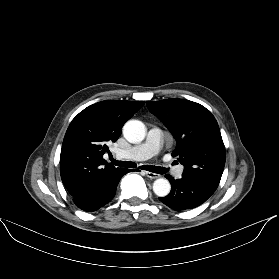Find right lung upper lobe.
<instances>
[{"label": "right lung upper lobe", "instance_id": "1", "mask_svg": "<svg viewBox=\"0 0 279 279\" xmlns=\"http://www.w3.org/2000/svg\"><path fill=\"white\" fill-rule=\"evenodd\" d=\"M144 103L106 100L88 106L72 120L60 155L61 179L71 196L89 192L124 170L107 164L103 155L109 152L107 142L118 139L125 122Z\"/></svg>", "mask_w": 279, "mask_h": 279}]
</instances>
